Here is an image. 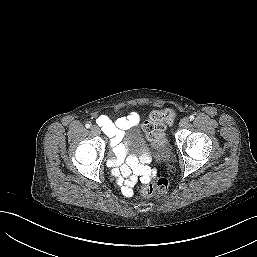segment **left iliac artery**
Returning <instances> with one entry per match:
<instances>
[{
	"label": "left iliac artery",
	"mask_w": 257,
	"mask_h": 257,
	"mask_svg": "<svg viewBox=\"0 0 257 257\" xmlns=\"http://www.w3.org/2000/svg\"><path fill=\"white\" fill-rule=\"evenodd\" d=\"M189 119H190V121L194 120V116L191 115V116L189 117Z\"/></svg>",
	"instance_id": "44dca946"
}]
</instances>
